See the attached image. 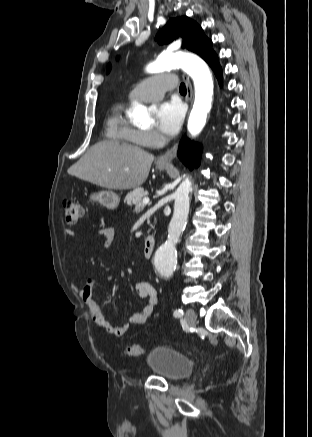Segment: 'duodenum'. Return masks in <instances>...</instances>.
Listing matches in <instances>:
<instances>
[{
    "instance_id": "obj_1",
    "label": "duodenum",
    "mask_w": 312,
    "mask_h": 437,
    "mask_svg": "<svg viewBox=\"0 0 312 437\" xmlns=\"http://www.w3.org/2000/svg\"><path fill=\"white\" fill-rule=\"evenodd\" d=\"M154 246H155V239H154L153 235H148L146 237L144 247H143V254L146 258H150V256L153 253Z\"/></svg>"
}]
</instances>
